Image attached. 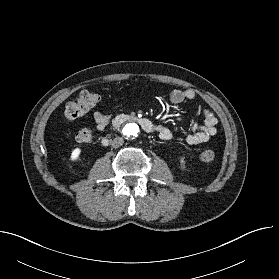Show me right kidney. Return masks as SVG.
Wrapping results in <instances>:
<instances>
[{"mask_svg":"<svg viewBox=\"0 0 279 279\" xmlns=\"http://www.w3.org/2000/svg\"><path fill=\"white\" fill-rule=\"evenodd\" d=\"M81 154V149L80 148H75L72 153H71V160L76 161L80 158Z\"/></svg>","mask_w":279,"mask_h":279,"instance_id":"right-kidney-1","label":"right kidney"}]
</instances>
